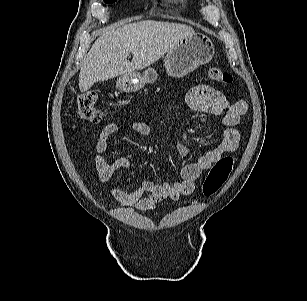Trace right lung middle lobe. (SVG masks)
Returning <instances> with one entry per match:
<instances>
[{"label": "right lung middle lobe", "instance_id": "obj_1", "mask_svg": "<svg viewBox=\"0 0 307 301\" xmlns=\"http://www.w3.org/2000/svg\"><path fill=\"white\" fill-rule=\"evenodd\" d=\"M106 3H113L115 2L116 0H104Z\"/></svg>", "mask_w": 307, "mask_h": 301}]
</instances>
